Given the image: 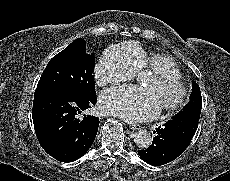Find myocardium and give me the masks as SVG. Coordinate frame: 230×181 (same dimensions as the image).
<instances>
[{"label":"myocardium","mask_w":230,"mask_h":181,"mask_svg":"<svg viewBox=\"0 0 230 181\" xmlns=\"http://www.w3.org/2000/svg\"><path fill=\"white\" fill-rule=\"evenodd\" d=\"M165 79L171 81L177 88L176 97L168 103L161 104L157 106L155 109L158 111L166 110L172 111L181 106L187 95L186 87L181 81V76H178L175 71H171L168 69H159L148 73L142 82H146V84H150L153 81ZM144 84V83H143Z\"/></svg>","instance_id":"myocardium-1"}]
</instances>
